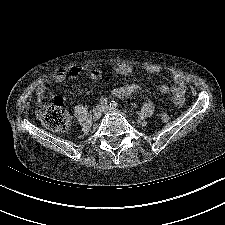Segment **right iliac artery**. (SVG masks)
I'll return each instance as SVG.
<instances>
[{
  "mask_svg": "<svg viewBox=\"0 0 225 225\" xmlns=\"http://www.w3.org/2000/svg\"><path fill=\"white\" fill-rule=\"evenodd\" d=\"M99 103L101 104V106H106L108 103V99L105 97L100 98Z\"/></svg>",
  "mask_w": 225,
  "mask_h": 225,
  "instance_id": "obj_1",
  "label": "right iliac artery"
}]
</instances>
